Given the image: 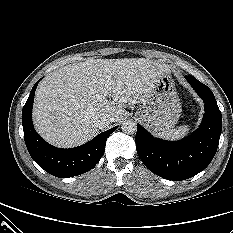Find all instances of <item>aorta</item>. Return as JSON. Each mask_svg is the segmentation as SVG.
Segmentation results:
<instances>
[{"label": "aorta", "mask_w": 233, "mask_h": 233, "mask_svg": "<svg viewBox=\"0 0 233 233\" xmlns=\"http://www.w3.org/2000/svg\"><path fill=\"white\" fill-rule=\"evenodd\" d=\"M121 129L125 134H134L137 131V126L135 122L125 121L122 124Z\"/></svg>", "instance_id": "obj_1"}]
</instances>
